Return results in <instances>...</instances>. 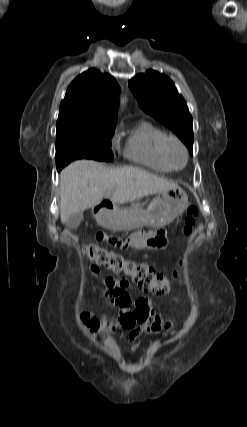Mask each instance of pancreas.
<instances>
[{
    "mask_svg": "<svg viewBox=\"0 0 247 427\" xmlns=\"http://www.w3.org/2000/svg\"><path fill=\"white\" fill-rule=\"evenodd\" d=\"M139 210H141V204L136 203V204H132L129 208H123L121 211L125 213H131Z\"/></svg>",
    "mask_w": 247,
    "mask_h": 427,
    "instance_id": "pancreas-1",
    "label": "pancreas"
}]
</instances>
